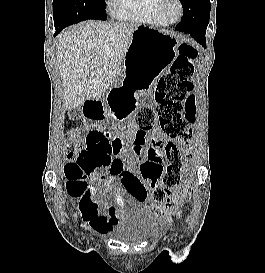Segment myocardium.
I'll list each match as a JSON object with an SVG mask.
<instances>
[{"instance_id":"f54148a6","label":"myocardium","mask_w":265,"mask_h":273,"mask_svg":"<svg viewBox=\"0 0 265 273\" xmlns=\"http://www.w3.org/2000/svg\"><path fill=\"white\" fill-rule=\"evenodd\" d=\"M170 2V0H160V4H159V11L160 14L165 18V20H167L169 23H175L178 22L179 20L182 19L183 15H184V4L182 0H175V2L178 4L179 6V14L177 17L175 18H170L167 14L166 8L168 3Z\"/></svg>"}]
</instances>
